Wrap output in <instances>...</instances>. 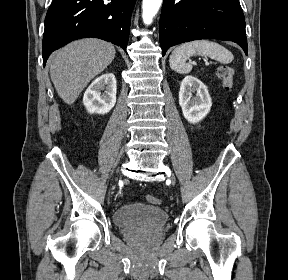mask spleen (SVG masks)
I'll use <instances>...</instances> for the list:
<instances>
[{
	"mask_svg": "<svg viewBox=\"0 0 288 280\" xmlns=\"http://www.w3.org/2000/svg\"><path fill=\"white\" fill-rule=\"evenodd\" d=\"M194 55L210 57L220 63L228 64L234 59L233 54L219 43L209 40H196L176 47L169 58L172 70L180 74H187L192 65L187 60Z\"/></svg>",
	"mask_w": 288,
	"mask_h": 280,
	"instance_id": "obj_1",
	"label": "spleen"
}]
</instances>
